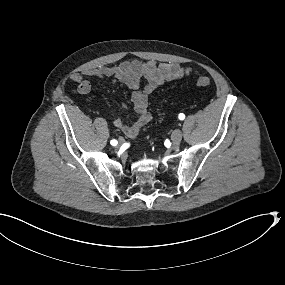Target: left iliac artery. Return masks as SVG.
Listing matches in <instances>:
<instances>
[{"label":"left iliac artery","mask_w":285,"mask_h":285,"mask_svg":"<svg viewBox=\"0 0 285 285\" xmlns=\"http://www.w3.org/2000/svg\"><path fill=\"white\" fill-rule=\"evenodd\" d=\"M184 118H185V115H184L183 113H180V114H179V119H180V120H184Z\"/></svg>","instance_id":"left-iliac-artery-1"}]
</instances>
